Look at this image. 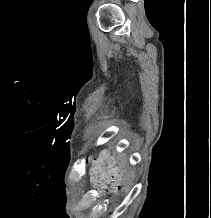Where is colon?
Returning a JSON list of instances; mask_svg holds the SVG:
<instances>
[{
    "label": "colon",
    "mask_w": 211,
    "mask_h": 218,
    "mask_svg": "<svg viewBox=\"0 0 211 218\" xmlns=\"http://www.w3.org/2000/svg\"><path fill=\"white\" fill-rule=\"evenodd\" d=\"M91 179L107 192H115L120 188V171L110 154L105 152L91 159Z\"/></svg>",
    "instance_id": "5ec220e1"
}]
</instances>
